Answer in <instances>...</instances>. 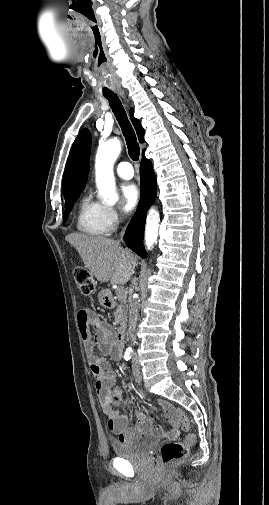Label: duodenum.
Wrapping results in <instances>:
<instances>
[{
  "label": "duodenum",
  "mask_w": 269,
  "mask_h": 505,
  "mask_svg": "<svg viewBox=\"0 0 269 505\" xmlns=\"http://www.w3.org/2000/svg\"><path fill=\"white\" fill-rule=\"evenodd\" d=\"M102 302L106 307H111L113 305L112 298L108 293L102 294ZM125 335H126V325L122 323L115 333L116 342L120 347H123L124 345Z\"/></svg>",
  "instance_id": "obj_1"
}]
</instances>
